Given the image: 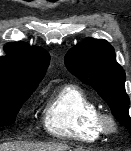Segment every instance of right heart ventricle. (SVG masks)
<instances>
[{
	"label": "right heart ventricle",
	"mask_w": 131,
	"mask_h": 151,
	"mask_svg": "<svg viewBox=\"0 0 131 151\" xmlns=\"http://www.w3.org/2000/svg\"><path fill=\"white\" fill-rule=\"evenodd\" d=\"M94 101L78 86L65 85L50 98L44 112V126L52 135L95 142L103 136Z\"/></svg>",
	"instance_id": "right-heart-ventricle-1"
}]
</instances>
